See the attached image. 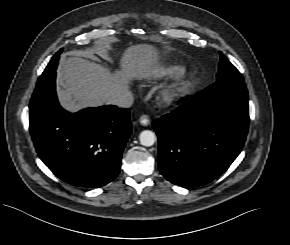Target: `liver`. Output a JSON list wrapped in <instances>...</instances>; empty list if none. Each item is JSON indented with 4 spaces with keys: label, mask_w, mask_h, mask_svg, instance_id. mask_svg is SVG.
I'll return each instance as SVG.
<instances>
[{
    "label": "liver",
    "mask_w": 290,
    "mask_h": 245,
    "mask_svg": "<svg viewBox=\"0 0 290 245\" xmlns=\"http://www.w3.org/2000/svg\"><path fill=\"white\" fill-rule=\"evenodd\" d=\"M156 63V53L145 44L127 48L121 57V70L114 74L82 57L63 59L57 71L59 101L71 112L109 104L111 98L129 92L132 80L152 77Z\"/></svg>",
    "instance_id": "6515ba94"
}]
</instances>
